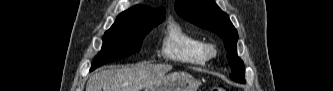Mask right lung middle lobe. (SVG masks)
I'll return each instance as SVG.
<instances>
[{
    "mask_svg": "<svg viewBox=\"0 0 333 91\" xmlns=\"http://www.w3.org/2000/svg\"><path fill=\"white\" fill-rule=\"evenodd\" d=\"M163 20L164 18H156L113 24L104 34L102 49L94 58L90 71L105 63L139 52L144 37Z\"/></svg>",
    "mask_w": 333,
    "mask_h": 91,
    "instance_id": "1",
    "label": "right lung middle lobe"
}]
</instances>
